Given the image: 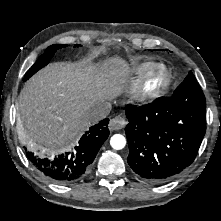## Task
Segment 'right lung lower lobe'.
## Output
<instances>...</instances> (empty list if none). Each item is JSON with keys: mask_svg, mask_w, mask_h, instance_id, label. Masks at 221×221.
Listing matches in <instances>:
<instances>
[{"mask_svg": "<svg viewBox=\"0 0 221 221\" xmlns=\"http://www.w3.org/2000/svg\"><path fill=\"white\" fill-rule=\"evenodd\" d=\"M109 119L90 127L74 150L57 155L26 152L33 166L46 178L60 184L75 182L90 170L100 147L108 138ZM25 150H27L25 148Z\"/></svg>", "mask_w": 221, "mask_h": 221, "instance_id": "1", "label": "right lung lower lobe"}]
</instances>
